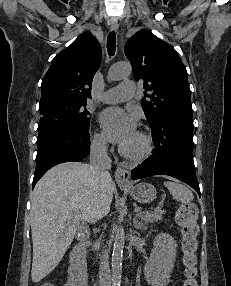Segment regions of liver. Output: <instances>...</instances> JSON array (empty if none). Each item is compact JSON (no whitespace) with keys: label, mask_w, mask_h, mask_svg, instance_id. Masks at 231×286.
<instances>
[{"label":"liver","mask_w":231,"mask_h":286,"mask_svg":"<svg viewBox=\"0 0 231 286\" xmlns=\"http://www.w3.org/2000/svg\"><path fill=\"white\" fill-rule=\"evenodd\" d=\"M114 189L111 176L100 183L91 165L80 162L56 165L38 181L31 197L33 282L55 269L80 223L100 218L96 210L102 202L110 209Z\"/></svg>","instance_id":"liver-1"}]
</instances>
